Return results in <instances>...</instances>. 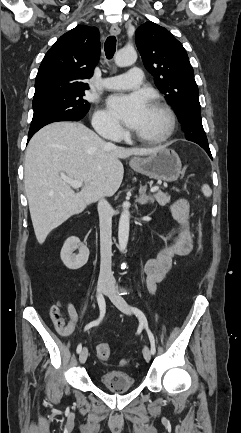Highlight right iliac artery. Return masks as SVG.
I'll return each mask as SVG.
<instances>
[{"instance_id":"right-iliac-artery-1","label":"right iliac artery","mask_w":241,"mask_h":433,"mask_svg":"<svg viewBox=\"0 0 241 433\" xmlns=\"http://www.w3.org/2000/svg\"><path fill=\"white\" fill-rule=\"evenodd\" d=\"M98 305H99V308H100V317H99V319H97V320H95V321L87 324L85 326V328H84L85 331L88 330V329H90L93 326H97L100 323V321L102 320V318H103V316L105 314V301H104V298H103L102 295L98 296ZM81 350H82V344H79L77 346L76 351L79 354L81 352Z\"/></svg>"}]
</instances>
